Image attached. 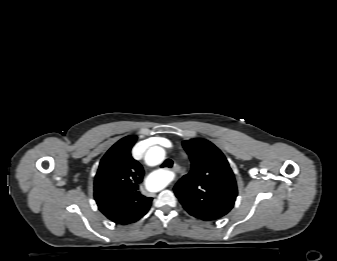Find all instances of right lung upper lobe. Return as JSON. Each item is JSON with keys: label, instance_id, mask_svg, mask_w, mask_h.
<instances>
[{"label": "right lung upper lobe", "instance_id": "obj_1", "mask_svg": "<svg viewBox=\"0 0 337 261\" xmlns=\"http://www.w3.org/2000/svg\"><path fill=\"white\" fill-rule=\"evenodd\" d=\"M137 137L126 136L102 158L94 181V198L99 210L111 221L126 225L144 216L152 198L141 194L144 170L131 156Z\"/></svg>", "mask_w": 337, "mask_h": 261}]
</instances>
